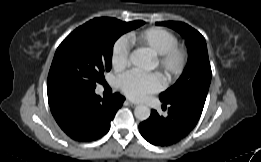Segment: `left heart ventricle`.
Listing matches in <instances>:
<instances>
[{"mask_svg": "<svg viewBox=\"0 0 261 162\" xmlns=\"http://www.w3.org/2000/svg\"><path fill=\"white\" fill-rule=\"evenodd\" d=\"M154 65L156 66V61H154Z\"/></svg>", "mask_w": 261, "mask_h": 162, "instance_id": "b2bd125f", "label": "left heart ventricle"}]
</instances>
